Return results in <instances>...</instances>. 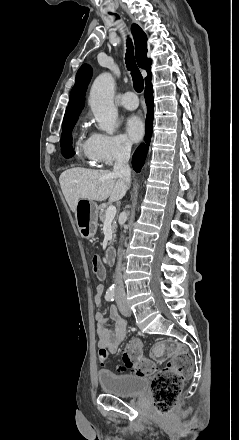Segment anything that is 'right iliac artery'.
Wrapping results in <instances>:
<instances>
[{
    "mask_svg": "<svg viewBox=\"0 0 239 440\" xmlns=\"http://www.w3.org/2000/svg\"><path fill=\"white\" fill-rule=\"evenodd\" d=\"M105 298L107 301H113L115 299V291H114L113 287H110L107 290Z\"/></svg>",
    "mask_w": 239,
    "mask_h": 440,
    "instance_id": "82829eb1",
    "label": "right iliac artery"
}]
</instances>
